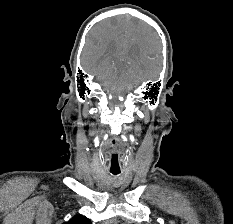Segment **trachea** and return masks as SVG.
<instances>
[{"mask_svg": "<svg viewBox=\"0 0 233 224\" xmlns=\"http://www.w3.org/2000/svg\"><path fill=\"white\" fill-rule=\"evenodd\" d=\"M112 173V175H118L120 172H111Z\"/></svg>", "mask_w": 233, "mask_h": 224, "instance_id": "trachea-1", "label": "trachea"}]
</instances>
